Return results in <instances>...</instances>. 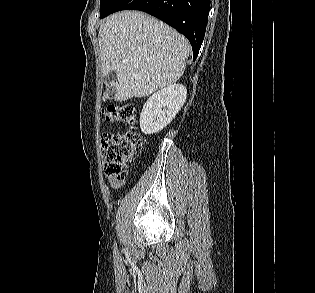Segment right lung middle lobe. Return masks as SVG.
I'll return each mask as SVG.
<instances>
[{
    "label": "right lung middle lobe",
    "instance_id": "right-lung-middle-lobe-1",
    "mask_svg": "<svg viewBox=\"0 0 315 293\" xmlns=\"http://www.w3.org/2000/svg\"><path fill=\"white\" fill-rule=\"evenodd\" d=\"M111 1L112 0H101L100 1V17L106 12Z\"/></svg>",
    "mask_w": 315,
    "mask_h": 293
}]
</instances>
